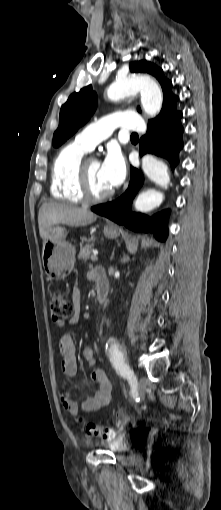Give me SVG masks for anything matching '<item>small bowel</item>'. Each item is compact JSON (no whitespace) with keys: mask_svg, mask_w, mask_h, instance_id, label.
<instances>
[{"mask_svg":"<svg viewBox=\"0 0 221 510\" xmlns=\"http://www.w3.org/2000/svg\"><path fill=\"white\" fill-rule=\"evenodd\" d=\"M72 302L74 313L70 318V324H76L79 320L81 307V293L79 288L75 287L72 292ZM58 349L62 356L61 369L65 375L73 376L77 373L76 347L73 337L70 334H64L58 341ZM84 360L91 366L95 363V355L92 348H86L83 352ZM91 378L98 384V389L94 395L85 400H79L74 392L63 394L61 397L63 407L71 414L77 415L79 411L92 413L103 406L107 405L113 395V384L107 373L100 369L94 368ZM123 419L118 417V425H122Z\"/></svg>","mask_w":221,"mask_h":510,"instance_id":"obj_1","label":"small bowel"}]
</instances>
